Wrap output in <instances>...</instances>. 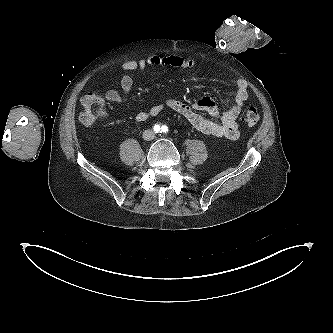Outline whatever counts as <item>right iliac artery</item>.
<instances>
[{
  "label": "right iliac artery",
  "instance_id": "82829eb1",
  "mask_svg": "<svg viewBox=\"0 0 333 333\" xmlns=\"http://www.w3.org/2000/svg\"><path fill=\"white\" fill-rule=\"evenodd\" d=\"M154 131H155L156 133H158V132L160 131V126H159V125H155V126H154Z\"/></svg>",
  "mask_w": 333,
  "mask_h": 333
}]
</instances>
